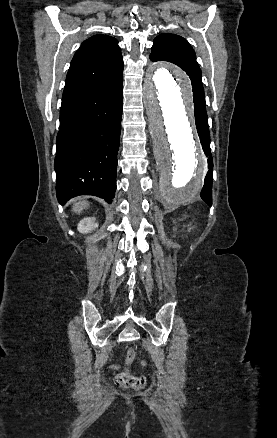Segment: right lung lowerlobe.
<instances>
[{"label": "right lung lower lobe", "instance_id": "right-lung-lower-lobe-1", "mask_svg": "<svg viewBox=\"0 0 277 438\" xmlns=\"http://www.w3.org/2000/svg\"><path fill=\"white\" fill-rule=\"evenodd\" d=\"M123 70L63 96L56 139L58 201L95 195L112 203L120 145Z\"/></svg>", "mask_w": 277, "mask_h": 438}]
</instances>
